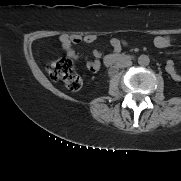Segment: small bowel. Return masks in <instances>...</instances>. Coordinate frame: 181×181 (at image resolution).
<instances>
[{"label": "small bowel", "instance_id": "obj_1", "mask_svg": "<svg viewBox=\"0 0 181 181\" xmlns=\"http://www.w3.org/2000/svg\"><path fill=\"white\" fill-rule=\"evenodd\" d=\"M95 39H96V36L92 34L85 35V36H81L78 34H71V35L61 34L58 37V40L62 48L66 52L67 56L71 59L80 58V55L79 53L76 52V50L74 49V46L83 42L92 43L95 41ZM172 42H173L172 37L168 35H159L154 39V45L160 49H165L169 47L172 44ZM111 45L113 48V54L109 56H114L120 52L121 48L125 45V42L121 39L113 38L111 40ZM99 58H100V53L95 52V59L86 61V66L90 71L96 72L100 68ZM166 71L173 80L181 81V73L176 69L173 61L169 60L167 62Z\"/></svg>", "mask_w": 181, "mask_h": 181}]
</instances>
